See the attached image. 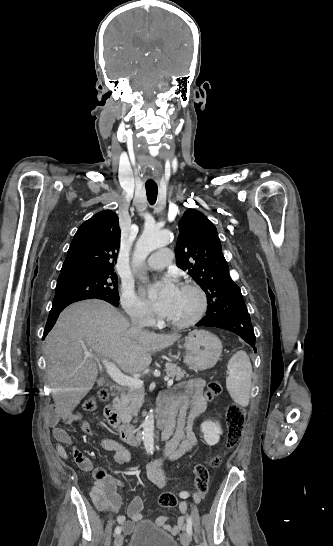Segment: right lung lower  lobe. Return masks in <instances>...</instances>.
Segmentation results:
<instances>
[{"mask_svg": "<svg viewBox=\"0 0 333 546\" xmlns=\"http://www.w3.org/2000/svg\"><path fill=\"white\" fill-rule=\"evenodd\" d=\"M97 299H102V300H105L109 303H111L113 306H118L119 305V300L117 299H113L111 297H100V298H97ZM74 301L72 302H68V303H58V304H53L52 306V309L49 313V317H48V320H47V324H46V327H45V330H44V336L43 338H45V336L48 334V332L52 329V327L54 326L60 312L65 308L67 307L69 304L73 303Z\"/></svg>", "mask_w": 333, "mask_h": 546, "instance_id": "1", "label": "right lung lower lobe"}]
</instances>
